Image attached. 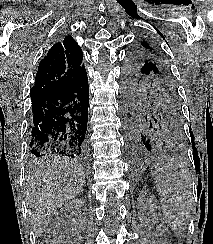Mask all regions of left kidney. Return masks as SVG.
I'll return each mask as SVG.
<instances>
[{"label": "left kidney", "mask_w": 213, "mask_h": 244, "mask_svg": "<svg viewBox=\"0 0 213 244\" xmlns=\"http://www.w3.org/2000/svg\"><path fill=\"white\" fill-rule=\"evenodd\" d=\"M154 203L153 197L148 194L147 192H142L139 196V205L141 207V218L145 221V223H149V218H151L153 215L151 213L152 211V204ZM150 227H152L150 225Z\"/></svg>", "instance_id": "5707ae66"}]
</instances>
